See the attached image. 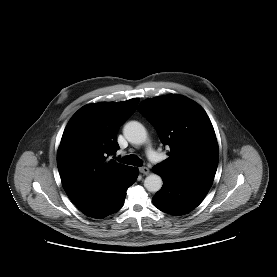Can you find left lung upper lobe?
<instances>
[{
  "mask_svg": "<svg viewBox=\"0 0 277 277\" xmlns=\"http://www.w3.org/2000/svg\"><path fill=\"white\" fill-rule=\"evenodd\" d=\"M138 110L171 149L169 158L157 169L180 179L212 184L218 166V144L202 107L184 96L170 95L145 100Z\"/></svg>",
  "mask_w": 277,
  "mask_h": 277,
  "instance_id": "obj_1",
  "label": "left lung upper lobe"
}]
</instances>
